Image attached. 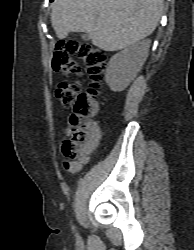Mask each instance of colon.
I'll return each instance as SVG.
<instances>
[{
	"mask_svg": "<svg viewBox=\"0 0 194 250\" xmlns=\"http://www.w3.org/2000/svg\"><path fill=\"white\" fill-rule=\"evenodd\" d=\"M81 60L93 82L86 91L80 90L75 81H62L56 88V97L64 109L71 110L67 124L68 137L62 142L61 152L64 164L78 162L84 153V143L88 138L85 123L98 109L97 90L107 64L106 54L94 45L70 39L58 44L54 50L52 67L62 75L79 73L76 60Z\"/></svg>",
	"mask_w": 194,
	"mask_h": 250,
	"instance_id": "1",
	"label": "colon"
}]
</instances>
